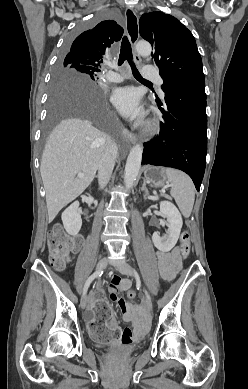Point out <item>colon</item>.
Masks as SVG:
<instances>
[{
  "label": "colon",
  "instance_id": "5ec220e1",
  "mask_svg": "<svg viewBox=\"0 0 248 389\" xmlns=\"http://www.w3.org/2000/svg\"><path fill=\"white\" fill-rule=\"evenodd\" d=\"M181 253L187 257L190 252V234L187 231L181 233ZM81 240L78 237L68 236L60 225H56L48 237V247L50 253V263L55 269H63L68 261L69 255L79 249ZM111 283V282H110ZM112 284V283H111ZM96 294L93 297L95 303L94 315L95 322H90L88 332L91 337H95L98 344H109L110 339L118 340L120 331L115 327L107 326L111 321V307L105 301L106 294L102 286L95 288ZM136 292L133 289L128 290L127 297L134 299Z\"/></svg>",
  "mask_w": 248,
  "mask_h": 389
}]
</instances>
